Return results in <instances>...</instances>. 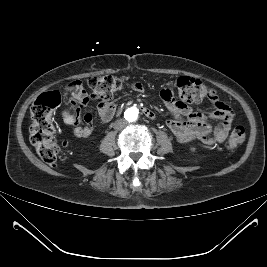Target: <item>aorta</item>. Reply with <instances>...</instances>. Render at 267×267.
<instances>
[{
  "label": "aorta",
  "mask_w": 267,
  "mask_h": 267,
  "mask_svg": "<svg viewBox=\"0 0 267 267\" xmlns=\"http://www.w3.org/2000/svg\"><path fill=\"white\" fill-rule=\"evenodd\" d=\"M138 117H139V111L135 107L128 108L125 111V118L129 122H136L138 120Z\"/></svg>",
  "instance_id": "762f6f07"
}]
</instances>
